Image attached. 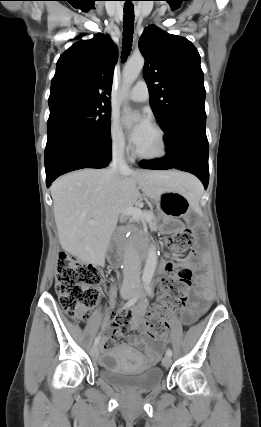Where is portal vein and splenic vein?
<instances>
[{
    "mask_svg": "<svg viewBox=\"0 0 261 427\" xmlns=\"http://www.w3.org/2000/svg\"><path fill=\"white\" fill-rule=\"evenodd\" d=\"M120 213L125 216H132L133 218H136V219L148 220L150 218V216L147 214L146 211H142L140 208H135V207H128V208L122 209ZM95 223L96 222L93 220L90 221V224L92 225H94Z\"/></svg>",
    "mask_w": 261,
    "mask_h": 427,
    "instance_id": "1",
    "label": "portal vein and splenic vein"
}]
</instances>
